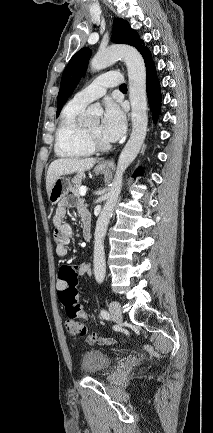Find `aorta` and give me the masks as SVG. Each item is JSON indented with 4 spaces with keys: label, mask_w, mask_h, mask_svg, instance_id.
<instances>
[{
    "label": "aorta",
    "mask_w": 213,
    "mask_h": 433,
    "mask_svg": "<svg viewBox=\"0 0 213 433\" xmlns=\"http://www.w3.org/2000/svg\"><path fill=\"white\" fill-rule=\"evenodd\" d=\"M119 59H122L126 63L128 71L132 133L119 156L115 177L108 192L107 201L96 223L93 264L95 280L98 283H102L106 275L104 238L121 192L123 174L138 155L144 143L148 126L146 68L141 54L130 46H111L104 51L98 52L91 60L90 67L94 72L100 71ZM100 111L101 109L98 107H89L83 120L87 122L95 118Z\"/></svg>",
    "instance_id": "1"
}]
</instances>
